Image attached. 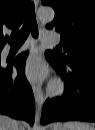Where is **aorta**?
<instances>
[{
	"label": "aorta",
	"mask_w": 95,
	"mask_h": 130,
	"mask_svg": "<svg viewBox=\"0 0 95 130\" xmlns=\"http://www.w3.org/2000/svg\"><path fill=\"white\" fill-rule=\"evenodd\" d=\"M54 16L55 12L51 7H41L37 11V18L43 22H51L54 19ZM40 119H41V113L39 110V105H36L34 130H39Z\"/></svg>",
	"instance_id": "aorta-1"
}]
</instances>
